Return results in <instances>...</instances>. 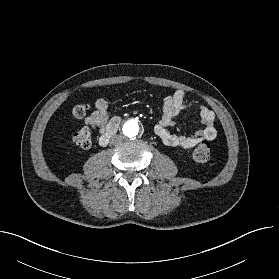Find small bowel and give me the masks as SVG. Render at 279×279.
<instances>
[{
  "label": "small bowel",
  "instance_id": "1",
  "mask_svg": "<svg viewBox=\"0 0 279 279\" xmlns=\"http://www.w3.org/2000/svg\"><path fill=\"white\" fill-rule=\"evenodd\" d=\"M185 97L183 90H176L163 99L162 116L155 123L154 132L166 146L191 149L203 142L212 141L216 137L213 111L199 102H188ZM186 110L197 111L199 123L203 127L192 135L171 133L169 127L173 126L176 119ZM113 119H109L107 100L100 98L95 102V109L86 117L85 123L103 134Z\"/></svg>",
  "mask_w": 279,
  "mask_h": 279
}]
</instances>
